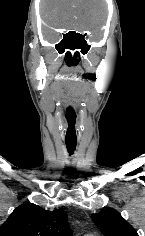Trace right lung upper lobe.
Wrapping results in <instances>:
<instances>
[{"label": "right lung upper lobe", "mask_w": 145, "mask_h": 236, "mask_svg": "<svg viewBox=\"0 0 145 236\" xmlns=\"http://www.w3.org/2000/svg\"><path fill=\"white\" fill-rule=\"evenodd\" d=\"M0 236H72L62 209L46 211L25 203L17 207L0 227Z\"/></svg>", "instance_id": "right-lung-upper-lobe-1"}]
</instances>
